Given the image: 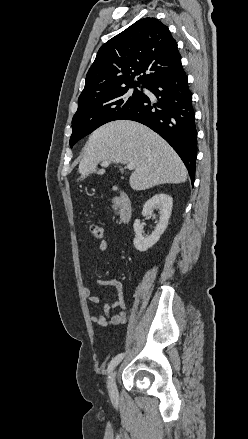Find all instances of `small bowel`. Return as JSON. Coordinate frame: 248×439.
Returning a JSON list of instances; mask_svg holds the SVG:
<instances>
[{
	"mask_svg": "<svg viewBox=\"0 0 248 439\" xmlns=\"http://www.w3.org/2000/svg\"><path fill=\"white\" fill-rule=\"evenodd\" d=\"M98 248L101 252L106 251L109 248L108 241L101 240ZM97 284L99 286L113 288L117 293V297L112 302H110L109 300L104 301L101 296L92 294L90 288L84 286L82 288V292L87 300L94 304H98L101 302L103 303L104 314H93L91 315L90 320L100 327L117 326L124 324L126 322V313L124 312L126 304L123 295V283L121 282V280L117 278L105 280L100 279L97 281ZM116 309H120L121 311L116 314H112V312Z\"/></svg>",
	"mask_w": 248,
	"mask_h": 439,
	"instance_id": "obj_1",
	"label": "small bowel"
}]
</instances>
